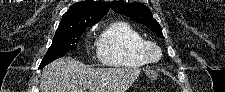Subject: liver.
I'll return each mask as SVG.
<instances>
[{"mask_svg":"<svg viewBox=\"0 0 225 92\" xmlns=\"http://www.w3.org/2000/svg\"><path fill=\"white\" fill-rule=\"evenodd\" d=\"M140 74L137 68H92L62 57L42 71L40 92H126Z\"/></svg>","mask_w":225,"mask_h":92,"instance_id":"obj_1","label":"liver"}]
</instances>
